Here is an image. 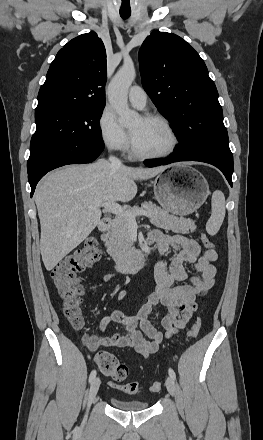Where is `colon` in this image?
Here are the masks:
<instances>
[{"label":"colon","mask_w":263,"mask_h":440,"mask_svg":"<svg viewBox=\"0 0 263 440\" xmlns=\"http://www.w3.org/2000/svg\"><path fill=\"white\" fill-rule=\"evenodd\" d=\"M201 241L207 249H214L213 242L205 234L201 235ZM99 258L98 241L95 238H88L76 251L59 262L52 270V279L58 290L64 314L72 327L77 330L81 329L84 324V288L77 274L92 266ZM199 331V323L192 325L188 332V339H195ZM96 360L100 371L114 381H123L128 376V367L114 355L100 352ZM120 388L127 393L134 394L138 392L139 384L137 382H127L121 385ZM160 389V382H154L151 385V391L153 392H158Z\"/></svg>","instance_id":"colon-1"}]
</instances>
